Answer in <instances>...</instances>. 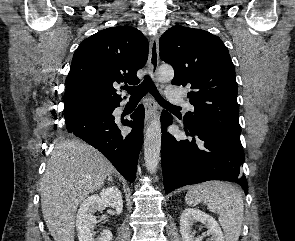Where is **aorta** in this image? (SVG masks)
<instances>
[{
	"label": "aorta",
	"instance_id": "762f6f07",
	"mask_svg": "<svg viewBox=\"0 0 295 241\" xmlns=\"http://www.w3.org/2000/svg\"><path fill=\"white\" fill-rule=\"evenodd\" d=\"M174 77V70L169 65H161L157 71L159 82H169ZM161 123L158 116H154L147 127L144 139V160L145 165L151 174L156 173L160 161L161 151Z\"/></svg>",
	"mask_w": 295,
	"mask_h": 241
}]
</instances>
